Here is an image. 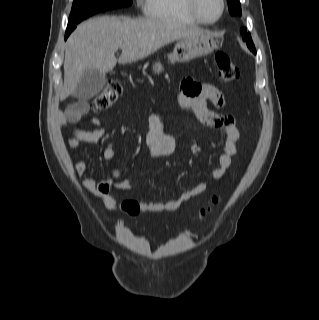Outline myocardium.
Masks as SVG:
<instances>
[{
    "label": "myocardium",
    "mask_w": 319,
    "mask_h": 320,
    "mask_svg": "<svg viewBox=\"0 0 319 320\" xmlns=\"http://www.w3.org/2000/svg\"><path fill=\"white\" fill-rule=\"evenodd\" d=\"M186 6L190 15L201 24L211 25L217 23L224 15L226 10V1L220 0V11L218 16L213 20H208L204 18L197 8V0H186Z\"/></svg>",
    "instance_id": "obj_1"
}]
</instances>
